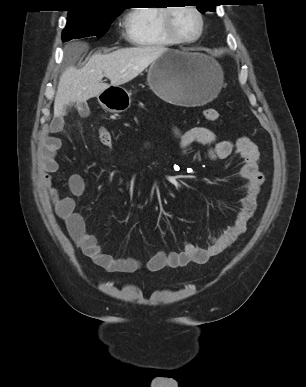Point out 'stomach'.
I'll return each instance as SVG.
<instances>
[{
    "label": "stomach",
    "instance_id": "0dacf381",
    "mask_svg": "<svg viewBox=\"0 0 306 387\" xmlns=\"http://www.w3.org/2000/svg\"><path fill=\"white\" fill-rule=\"evenodd\" d=\"M223 71L212 58L202 53L167 50L151 63L147 81L150 88L172 108L195 107L215 98L223 85ZM100 105L115 113L125 111L130 94L111 86L98 96Z\"/></svg>",
    "mask_w": 306,
    "mask_h": 387
}]
</instances>
